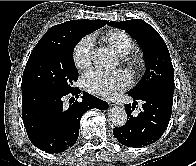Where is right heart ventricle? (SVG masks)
I'll use <instances>...</instances> for the list:
<instances>
[{"label":"right heart ventricle","instance_id":"right-heart-ventricle-1","mask_svg":"<svg viewBox=\"0 0 196 166\" xmlns=\"http://www.w3.org/2000/svg\"><path fill=\"white\" fill-rule=\"evenodd\" d=\"M105 40L120 56L127 55L133 48L132 39L123 31L108 32Z\"/></svg>","mask_w":196,"mask_h":166}]
</instances>
